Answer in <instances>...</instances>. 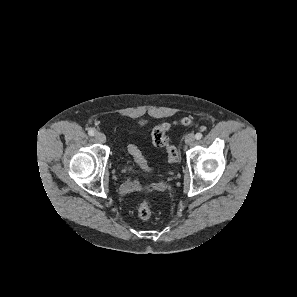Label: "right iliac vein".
<instances>
[{
  "instance_id": "right-iliac-vein-1",
  "label": "right iliac vein",
  "mask_w": 297,
  "mask_h": 297,
  "mask_svg": "<svg viewBox=\"0 0 297 297\" xmlns=\"http://www.w3.org/2000/svg\"><path fill=\"white\" fill-rule=\"evenodd\" d=\"M95 139L99 143H105L106 142V136L101 132H97L95 134Z\"/></svg>"
}]
</instances>
